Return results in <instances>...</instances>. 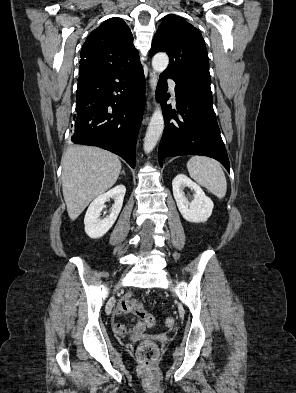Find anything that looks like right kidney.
Returning <instances> with one entry per match:
<instances>
[{"label":"right kidney","instance_id":"obj_1","mask_svg":"<svg viewBox=\"0 0 296 393\" xmlns=\"http://www.w3.org/2000/svg\"><path fill=\"white\" fill-rule=\"evenodd\" d=\"M125 192V186L118 185L107 193L98 196L90 204L84 218L85 232L90 238L98 239L104 236L113 226L121 211ZM110 198L115 201L111 213L106 218L100 219V213L104 208V203Z\"/></svg>","mask_w":296,"mask_h":393}]
</instances>
